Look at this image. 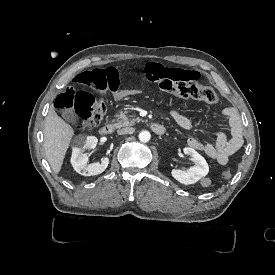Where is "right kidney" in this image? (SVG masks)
<instances>
[{
    "mask_svg": "<svg viewBox=\"0 0 275 275\" xmlns=\"http://www.w3.org/2000/svg\"><path fill=\"white\" fill-rule=\"evenodd\" d=\"M98 139L95 136H86L79 134L72 141L71 164L74 170L83 176H93L105 171L109 164L108 158H103L101 163H88V156L84 154L86 149L96 147Z\"/></svg>",
    "mask_w": 275,
    "mask_h": 275,
    "instance_id": "1",
    "label": "right kidney"
}]
</instances>
